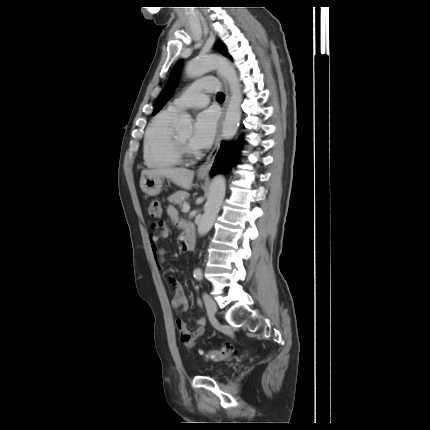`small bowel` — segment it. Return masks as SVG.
Returning a JSON list of instances; mask_svg holds the SVG:
<instances>
[{
	"label": "small bowel",
	"mask_w": 430,
	"mask_h": 430,
	"mask_svg": "<svg viewBox=\"0 0 430 430\" xmlns=\"http://www.w3.org/2000/svg\"><path fill=\"white\" fill-rule=\"evenodd\" d=\"M167 213L170 223L179 226L180 221L176 209L169 206L167 208ZM186 232H191V229L187 228ZM167 235L168 230L163 223L151 224L149 229V241L159 269H163L165 259V249L159 245V241L160 239L167 237ZM171 283L174 290V296L171 299L172 308L180 312L187 311L188 300L182 286L174 279L171 280ZM196 324L197 328L194 331H189L183 318L179 317L176 320V325L180 332V341L182 345L188 349H192L196 345L197 340L204 334L206 319L204 317H199L196 320Z\"/></svg>",
	"instance_id": "obj_1"
}]
</instances>
